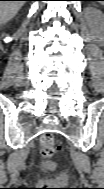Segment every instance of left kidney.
I'll use <instances>...</instances> for the list:
<instances>
[{
  "label": "left kidney",
  "instance_id": "left-kidney-1",
  "mask_svg": "<svg viewBox=\"0 0 104 189\" xmlns=\"http://www.w3.org/2000/svg\"><path fill=\"white\" fill-rule=\"evenodd\" d=\"M89 16L93 19L97 18L100 22H103V15L99 11H90Z\"/></svg>",
  "mask_w": 104,
  "mask_h": 189
}]
</instances>
